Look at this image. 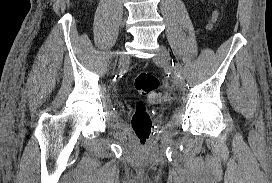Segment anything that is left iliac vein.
Returning <instances> with one entry per match:
<instances>
[{
    "label": "left iliac vein",
    "instance_id": "left-iliac-vein-1",
    "mask_svg": "<svg viewBox=\"0 0 272 183\" xmlns=\"http://www.w3.org/2000/svg\"><path fill=\"white\" fill-rule=\"evenodd\" d=\"M153 59L157 64L162 65L166 70L170 72H174V68L172 67V63H171L172 61H171L170 53L165 46L161 45L159 47L158 52L156 53ZM173 81L175 86L178 89L180 90L184 89L185 84L182 80H180L179 78L175 76Z\"/></svg>",
    "mask_w": 272,
    "mask_h": 183
}]
</instances>
